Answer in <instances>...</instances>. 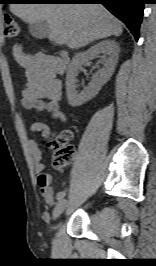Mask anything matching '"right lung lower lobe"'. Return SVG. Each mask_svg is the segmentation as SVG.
I'll return each mask as SVG.
<instances>
[{"instance_id":"1","label":"right lung lower lobe","mask_w":156,"mask_h":266,"mask_svg":"<svg viewBox=\"0 0 156 266\" xmlns=\"http://www.w3.org/2000/svg\"><path fill=\"white\" fill-rule=\"evenodd\" d=\"M37 3H101L112 14L123 21L134 35L139 38V27L143 17L144 4L147 0H44Z\"/></svg>"}]
</instances>
